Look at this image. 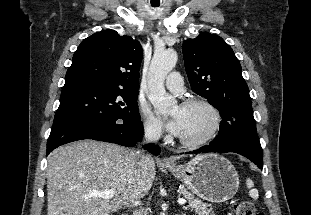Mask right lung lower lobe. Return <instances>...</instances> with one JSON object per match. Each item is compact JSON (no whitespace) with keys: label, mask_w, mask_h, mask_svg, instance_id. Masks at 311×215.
Instances as JSON below:
<instances>
[{"label":"right lung lower lobe","mask_w":311,"mask_h":215,"mask_svg":"<svg viewBox=\"0 0 311 215\" xmlns=\"http://www.w3.org/2000/svg\"><path fill=\"white\" fill-rule=\"evenodd\" d=\"M143 135L141 119L134 123H108L94 121H66L54 124L47 141V155L60 145L82 140L93 139L116 143L123 146H134ZM146 149L154 154L160 153V147L149 144Z\"/></svg>","instance_id":"1"}]
</instances>
